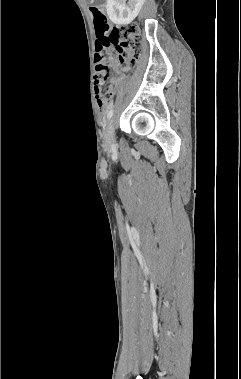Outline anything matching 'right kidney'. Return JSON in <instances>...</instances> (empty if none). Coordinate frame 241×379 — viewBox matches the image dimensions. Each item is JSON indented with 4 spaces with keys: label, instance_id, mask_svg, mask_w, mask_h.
Segmentation results:
<instances>
[{
    "label": "right kidney",
    "instance_id": "1",
    "mask_svg": "<svg viewBox=\"0 0 241 379\" xmlns=\"http://www.w3.org/2000/svg\"><path fill=\"white\" fill-rule=\"evenodd\" d=\"M145 0H107V14L109 19L117 25H127L138 15Z\"/></svg>",
    "mask_w": 241,
    "mask_h": 379
}]
</instances>
